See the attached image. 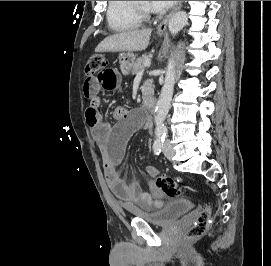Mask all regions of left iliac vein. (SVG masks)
<instances>
[{
    "label": "left iliac vein",
    "instance_id": "left-iliac-vein-1",
    "mask_svg": "<svg viewBox=\"0 0 271 266\" xmlns=\"http://www.w3.org/2000/svg\"><path fill=\"white\" fill-rule=\"evenodd\" d=\"M163 153L169 160H171L175 155V150L170 143H166L163 147Z\"/></svg>",
    "mask_w": 271,
    "mask_h": 266
}]
</instances>
